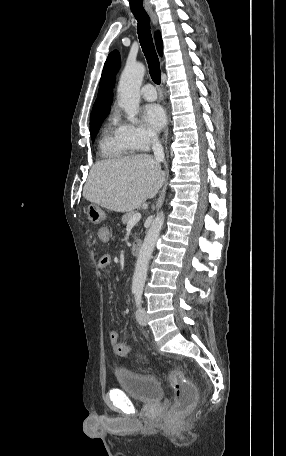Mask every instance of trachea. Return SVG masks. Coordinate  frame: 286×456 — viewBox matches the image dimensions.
<instances>
[{
	"mask_svg": "<svg viewBox=\"0 0 286 456\" xmlns=\"http://www.w3.org/2000/svg\"><path fill=\"white\" fill-rule=\"evenodd\" d=\"M133 15L138 22V38L148 63L150 76L154 83L160 84V62L151 35L150 18L146 12L133 13Z\"/></svg>",
	"mask_w": 286,
	"mask_h": 456,
	"instance_id": "3493384b",
	"label": "trachea"
}]
</instances>
